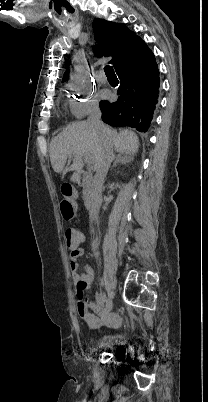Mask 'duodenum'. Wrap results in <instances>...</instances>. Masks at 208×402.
Returning a JSON list of instances; mask_svg holds the SVG:
<instances>
[{"instance_id": "1", "label": "duodenum", "mask_w": 208, "mask_h": 402, "mask_svg": "<svg viewBox=\"0 0 208 402\" xmlns=\"http://www.w3.org/2000/svg\"><path fill=\"white\" fill-rule=\"evenodd\" d=\"M76 181L80 186L84 188V203L87 207H90L93 201L90 175L84 171H77Z\"/></svg>"}]
</instances>
